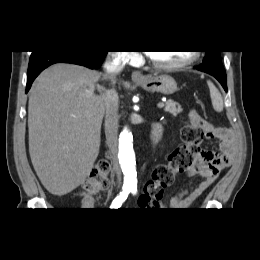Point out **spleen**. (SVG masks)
Here are the masks:
<instances>
[{
    "mask_svg": "<svg viewBox=\"0 0 260 260\" xmlns=\"http://www.w3.org/2000/svg\"><path fill=\"white\" fill-rule=\"evenodd\" d=\"M207 83L210 90V97H211L213 109L216 112H222L224 105H223V98L220 92L212 82L208 81Z\"/></svg>",
    "mask_w": 260,
    "mask_h": 260,
    "instance_id": "1",
    "label": "spleen"
}]
</instances>
